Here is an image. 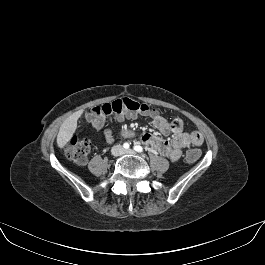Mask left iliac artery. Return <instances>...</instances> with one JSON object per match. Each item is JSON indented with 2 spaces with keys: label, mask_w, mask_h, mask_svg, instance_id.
I'll use <instances>...</instances> for the list:
<instances>
[{
  "label": "left iliac artery",
  "mask_w": 265,
  "mask_h": 265,
  "mask_svg": "<svg viewBox=\"0 0 265 265\" xmlns=\"http://www.w3.org/2000/svg\"><path fill=\"white\" fill-rule=\"evenodd\" d=\"M134 150L140 153L143 152V148L140 145H135Z\"/></svg>",
  "instance_id": "1"
}]
</instances>
